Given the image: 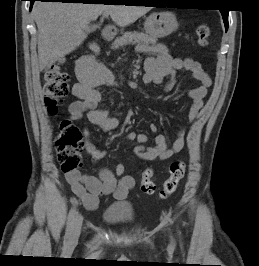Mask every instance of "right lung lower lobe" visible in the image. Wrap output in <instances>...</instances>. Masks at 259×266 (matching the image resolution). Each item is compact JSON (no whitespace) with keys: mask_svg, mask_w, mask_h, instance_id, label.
<instances>
[{"mask_svg":"<svg viewBox=\"0 0 259 266\" xmlns=\"http://www.w3.org/2000/svg\"><path fill=\"white\" fill-rule=\"evenodd\" d=\"M29 1H30V10H31L32 5H33V3L35 1H42V2L51 1V2H62V3L74 2V1H81L82 3L86 4V3H102L104 0H29ZM105 3H108V2H105Z\"/></svg>","mask_w":259,"mask_h":266,"instance_id":"98d812e1","label":"right lung lower lobe"}]
</instances>
